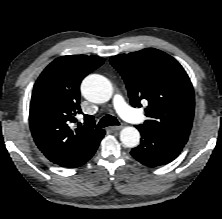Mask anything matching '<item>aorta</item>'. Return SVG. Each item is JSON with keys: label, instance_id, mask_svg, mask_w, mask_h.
I'll use <instances>...</instances> for the list:
<instances>
[{"label": "aorta", "instance_id": "obj_1", "mask_svg": "<svg viewBox=\"0 0 222 219\" xmlns=\"http://www.w3.org/2000/svg\"><path fill=\"white\" fill-rule=\"evenodd\" d=\"M81 92L91 102L104 103L111 98L113 87L106 77L92 74L83 80ZM120 140L126 147H136L140 141V133L135 127H125L120 132Z\"/></svg>", "mask_w": 222, "mask_h": 219}]
</instances>
